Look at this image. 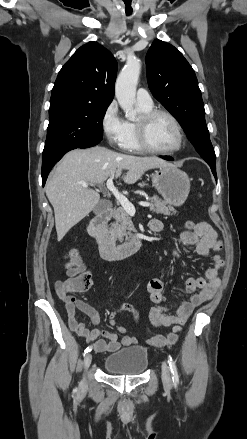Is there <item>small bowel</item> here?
<instances>
[{
  "instance_id": "c3829d8e",
  "label": "small bowel",
  "mask_w": 247,
  "mask_h": 439,
  "mask_svg": "<svg viewBox=\"0 0 247 439\" xmlns=\"http://www.w3.org/2000/svg\"><path fill=\"white\" fill-rule=\"evenodd\" d=\"M152 232H161L164 228L162 221L153 219L149 223ZM221 242L216 232L207 223H198L193 231H183L179 237V245L174 249V257L183 262V253L193 248L196 255L207 257L212 251V265L205 271V278H189L186 281V292L189 298L182 302L175 314H171L164 303L167 296L163 294V282L160 278L154 277L147 284V291L150 300L157 306L150 311V321L156 327L173 326L172 332L168 336H155L147 341L148 345L156 347L170 346L177 341L178 333L195 308L210 300L220 284L219 272L224 266V261L218 254L221 249ZM164 269L163 272H166ZM72 280L67 279L57 281L55 289L58 297L62 300L67 316L69 328L92 343L93 349L97 353L115 352L123 346H131L137 343L133 336L125 335L126 329L120 325L116 317L119 313L128 311L134 316L135 324H138L139 314L137 309L130 304H123L112 310L108 315V323L117 332L123 335L118 337L117 333L100 329H88L78 318L76 310L81 311L90 318L93 325L100 323V315L97 310L87 302L70 295Z\"/></svg>"
}]
</instances>
